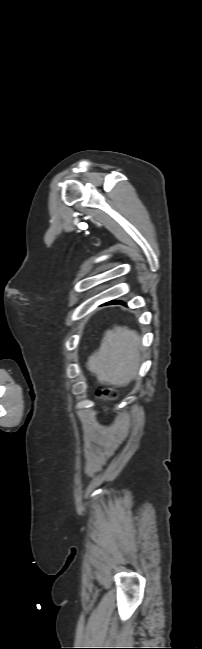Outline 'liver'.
I'll list each match as a JSON object with an SVG mask.
<instances>
[{
	"mask_svg": "<svg viewBox=\"0 0 202 649\" xmlns=\"http://www.w3.org/2000/svg\"><path fill=\"white\" fill-rule=\"evenodd\" d=\"M140 350L141 340L136 331L114 326L104 333L99 349L89 356L86 366L100 383L126 386L137 375Z\"/></svg>",
	"mask_w": 202,
	"mask_h": 649,
	"instance_id": "obj_1",
	"label": "liver"
}]
</instances>
